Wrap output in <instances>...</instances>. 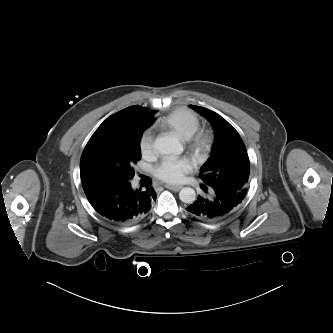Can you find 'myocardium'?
I'll list each match as a JSON object with an SVG mask.
<instances>
[{"label":"myocardium","mask_w":333,"mask_h":333,"mask_svg":"<svg viewBox=\"0 0 333 333\" xmlns=\"http://www.w3.org/2000/svg\"><path fill=\"white\" fill-rule=\"evenodd\" d=\"M215 136L210 130H203L189 138L188 149L196 163H204L211 155Z\"/></svg>","instance_id":"f54148a6"}]
</instances>
